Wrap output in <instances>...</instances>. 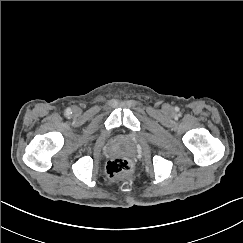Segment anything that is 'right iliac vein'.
<instances>
[{
	"label": "right iliac vein",
	"instance_id": "obj_1",
	"mask_svg": "<svg viewBox=\"0 0 243 243\" xmlns=\"http://www.w3.org/2000/svg\"><path fill=\"white\" fill-rule=\"evenodd\" d=\"M73 112H74L75 114H79V113H80V109H79L78 107H74V108H73Z\"/></svg>",
	"mask_w": 243,
	"mask_h": 243
}]
</instances>
